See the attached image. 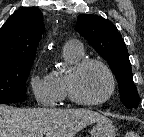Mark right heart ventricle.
I'll return each instance as SVG.
<instances>
[{
    "mask_svg": "<svg viewBox=\"0 0 144 137\" xmlns=\"http://www.w3.org/2000/svg\"><path fill=\"white\" fill-rule=\"evenodd\" d=\"M64 59L68 66H72L83 57V48L76 42H67L63 50ZM57 91L58 100L63 101L68 97L66 88V73L60 70H55L50 73Z\"/></svg>",
    "mask_w": 144,
    "mask_h": 137,
    "instance_id": "1",
    "label": "right heart ventricle"
}]
</instances>
